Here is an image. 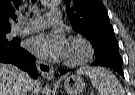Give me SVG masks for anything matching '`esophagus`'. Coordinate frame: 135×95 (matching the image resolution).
<instances>
[{
    "label": "esophagus",
    "mask_w": 135,
    "mask_h": 95,
    "mask_svg": "<svg viewBox=\"0 0 135 95\" xmlns=\"http://www.w3.org/2000/svg\"><path fill=\"white\" fill-rule=\"evenodd\" d=\"M36 66H37V69L38 71L41 73L42 76L48 78V79H52L53 76H54V69L53 67L42 61V60H36Z\"/></svg>",
    "instance_id": "1"
}]
</instances>
